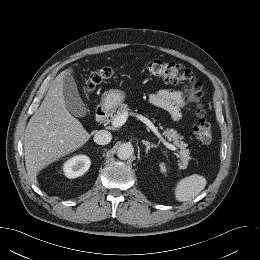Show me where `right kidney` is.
Here are the masks:
<instances>
[{
    "label": "right kidney",
    "instance_id": "ca27d5eb",
    "mask_svg": "<svg viewBox=\"0 0 260 260\" xmlns=\"http://www.w3.org/2000/svg\"><path fill=\"white\" fill-rule=\"evenodd\" d=\"M90 158L86 155H77L67 160L63 165V171L68 178L82 176L90 167Z\"/></svg>",
    "mask_w": 260,
    "mask_h": 260
}]
</instances>
